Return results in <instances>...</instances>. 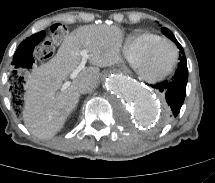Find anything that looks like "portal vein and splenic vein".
Returning a JSON list of instances; mask_svg holds the SVG:
<instances>
[{"instance_id":"obj_1","label":"portal vein and splenic vein","mask_w":215,"mask_h":183,"mask_svg":"<svg viewBox=\"0 0 215 183\" xmlns=\"http://www.w3.org/2000/svg\"><path fill=\"white\" fill-rule=\"evenodd\" d=\"M80 55L82 57V60L80 64L77 66V68L70 74V78L74 79L85 67V64L89 58L88 51L86 49H83L80 51ZM71 85L70 81H65L61 87L62 90L67 89Z\"/></svg>"}]
</instances>
